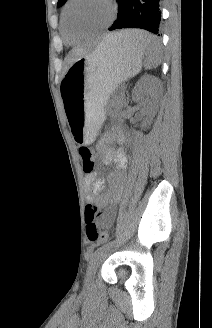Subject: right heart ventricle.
I'll return each mask as SVG.
<instances>
[{"label":"right heart ventricle","mask_w":212,"mask_h":328,"mask_svg":"<svg viewBox=\"0 0 212 328\" xmlns=\"http://www.w3.org/2000/svg\"><path fill=\"white\" fill-rule=\"evenodd\" d=\"M61 31H62L64 41L67 44L73 45L78 41V37L71 35V33L67 31L64 20H63V15H62V19H61Z\"/></svg>","instance_id":"right-heart-ventricle-1"}]
</instances>
